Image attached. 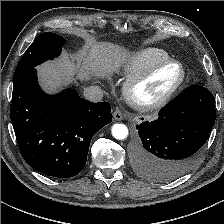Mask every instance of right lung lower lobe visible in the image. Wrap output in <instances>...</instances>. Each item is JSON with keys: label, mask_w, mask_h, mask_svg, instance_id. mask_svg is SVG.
Returning a JSON list of instances; mask_svg holds the SVG:
<instances>
[{"label": "right lung lower lobe", "mask_w": 224, "mask_h": 224, "mask_svg": "<svg viewBox=\"0 0 224 224\" xmlns=\"http://www.w3.org/2000/svg\"><path fill=\"white\" fill-rule=\"evenodd\" d=\"M110 111L109 103L89 102L70 88L43 93L34 67L14 82L10 114L20 152L48 176L69 178L83 170L91 138L112 121Z\"/></svg>", "instance_id": "obj_1"}]
</instances>
